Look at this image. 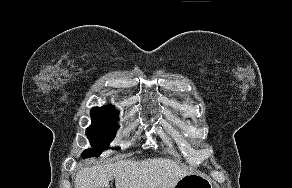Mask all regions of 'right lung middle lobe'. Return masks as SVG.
<instances>
[{
  "mask_svg": "<svg viewBox=\"0 0 292 188\" xmlns=\"http://www.w3.org/2000/svg\"><path fill=\"white\" fill-rule=\"evenodd\" d=\"M118 113L112 106L92 108V124L86 130L92 148L84 151L83 157L99 156L104 149L108 148L119 127L116 122L119 120Z\"/></svg>",
  "mask_w": 292,
  "mask_h": 188,
  "instance_id": "dd1d6c3e",
  "label": "right lung middle lobe"
}]
</instances>
